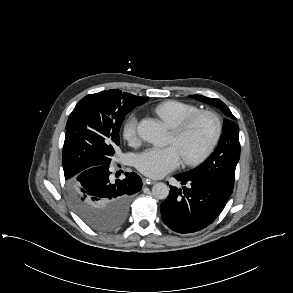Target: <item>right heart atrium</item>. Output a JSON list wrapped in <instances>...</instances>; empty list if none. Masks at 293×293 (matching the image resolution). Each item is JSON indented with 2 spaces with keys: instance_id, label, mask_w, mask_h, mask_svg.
Segmentation results:
<instances>
[{
  "instance_id": "1",
  "label": "right heart atrium",
  "mask_w": 293,
  "mask_h": 293,
  "mask_svg": "<svg viewBox=\"0 0 293 293\" xmlns=\"http://www.w3.org/2000/svg\"><path fill=\"white\" fill-rule=\"evenodd\" d=\"M137 127H138V119L135 114L129 115L124 123L122 128V133L124 139L129 142H134L137 139Z\"/></svg>"
}]
</instances>
